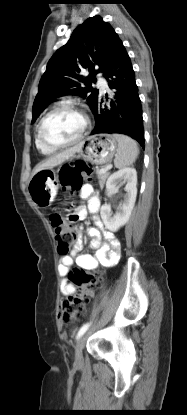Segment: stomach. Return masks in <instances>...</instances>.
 I'll list each match as a JSON object with an SVG mask.
<instances>
[{"mask_svg":"<svg viewBox=\"0 0 187 415\" xmlns=\"http://www.w3.org/2000/svg\"><path fill=\"white\" fill-rule=\"evenodd\" d=\"M118 144L111 134L101 133L90 136L81 143V150L73 159L83 158L92 164L103 165L112 161ZM32 201L39 207L50 205L57 193L56 171L53 168L41 170L32 175L28 183Z\"/></svg>","mask_w":187,"mask_h":415,"instance_id":"1","label":"stomach"}]
</instances>
